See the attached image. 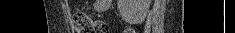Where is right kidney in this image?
I'll return each instance as SVG.
<instances>
[{"label": "right kidney", "instance_id": "1", "mask_svg": "<svg viewBox=\"0 0 235 33\" xmlns=\"http://www.w3.org/2000/svg\"><path fill=\"white\" fill-rule=\"evenodd\" d=\"M150 2V0H119L121 15L129 20H142L147 14Z\"/></svg>", "mask_w": 235, "mask_h": 33}]
</instances>
